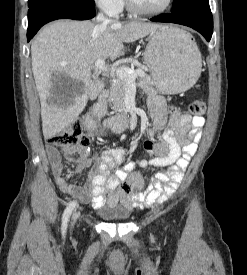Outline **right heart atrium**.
<instances>
[{
    "mask_svg": "<svg viewBox=\"0 0 247 275\" xmlns=\"http://www.w3.org/2000/svg\"><path fill=\"white\" fill-rule=\"evenodd\" d=\"M96 5L108 15H117L122 10L123 0H94Z\"/></svg>",
    "mask_w": 247,
    "mask_h": 275,
    "instance_id": "1",
    "label": "right heart atrium"
}]
</instances>
